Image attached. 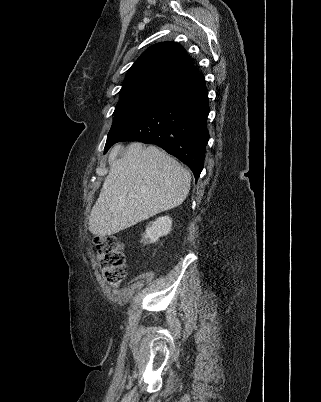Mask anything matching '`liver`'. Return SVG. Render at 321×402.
<instances>
[{
	"label": "liver",
	"mask_w": 321,
	"mask_h": 402,
	"mask_svg": "<svg viewBox=\"0 0 321 402\" xmlns=\"http://www.w3.org/2000/svg\"><path fill=\"white\" fill-rule=\"evenodd\" d=\"M121 145L109 155V173L89 217V231L110 236L160 212L182 204L190 173L158 147L132 143L117 158Z\"/></svg>",
	"instance_id": "1"
}]
</instances>
